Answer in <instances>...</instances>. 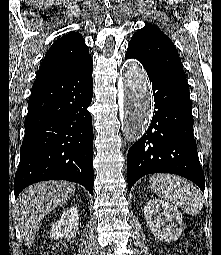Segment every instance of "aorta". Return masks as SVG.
I'll list each match as a JSON object with an SVG mask.
<instances>
[{"mask_svg":"<svg viewBox=\"0 0 221 255\" xmlns=\"http://www.w3.org/2000/svg\"><path fill=\"white\" fill-rule=\"evenodd\" d=\"M119 104L128 142H136L146 131L152 112V95L146 74L138 61L125 65L119 84Z\"/></svg>","mask_w":221,"mask_h":255,"instance_id":"aorta-1","label":"aorta"}]
</instances>
